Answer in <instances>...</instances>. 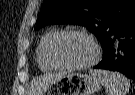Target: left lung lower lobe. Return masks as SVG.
I'll return each instance as SVG.
<instances>
[{
	"label": "left lung lower lobe",
	"mask_w": 135,
	"mask_h": 95,
	"mask_svg": "<svg viewBox=\"0 0 135 95\" xmlns=\"http://www.w3.org/2000/svg\"><path fill=\"white\" fill-rule=\"evenodd\" d=\"M103 58L95 69L117 71L135 82V15L101 44Z\"/></svg>",
	"instance_id": "1"
}]
</instances>
